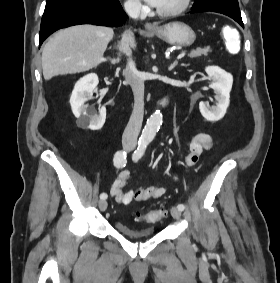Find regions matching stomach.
I'll return each mask as SVG.
<instances>
[{
	"label": "stomach",
	"instance_id": "1",
	"mask_svg": "<svg viewBox=\"0 0 280 283\" xmlns=\"http://www.w3.org/2000/svg\"><path fill=\"white\" fill-rule=\"evenodd\" d=\"M152 33L171 45L190 46L196 39L191 27L182 22H172L156 27Z\"/></svg>",
	"mask_w": 280,
	"mask_h": 283
}]
</instances>
